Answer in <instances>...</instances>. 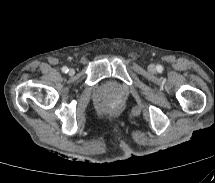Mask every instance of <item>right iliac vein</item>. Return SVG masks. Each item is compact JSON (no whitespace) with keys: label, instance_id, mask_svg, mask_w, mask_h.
Segmentation results:
<instances>
[{"label":"right iliac vein","instance_id":"obj_1","mask_svg":"<svg viewBox=\"0 0 215 183\" xmlns=\"http://www.w3.org/2000/svg\"><path fill=\"white\" fill-rule=\"evenodd\" d=\"M68 74H69L70 76H73V75L75 74V70L72 69V68L69 69Z\"/></svg>","mask_w":215,"mask_h":183}]
</instances>
